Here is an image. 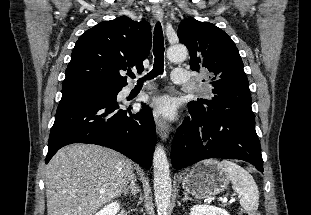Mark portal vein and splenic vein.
Listing matches in <instances>:
<instances>
[{
    "instance_id": "18ae733b",
    "label": "portal vein and splenic vein",
    "mask_w": 311,
    "mask_h": 215,
    "mask_svg": "<svg viewBox=\"0 0 311 215\" xmlns=\"http://www.w3.org/2000/svg\"><path fill=\"white\" fill-rule=\"evenodd\" d=\"M235 200H236L235 197H234V198H231L230 201H229V203H232V202H234ZM222 202H223V203H226V202H227V198H223V199H222Z\"/></svg>"
}]
</instances>
